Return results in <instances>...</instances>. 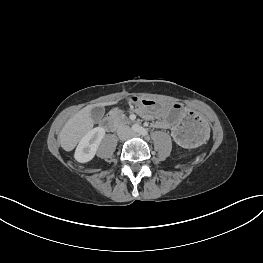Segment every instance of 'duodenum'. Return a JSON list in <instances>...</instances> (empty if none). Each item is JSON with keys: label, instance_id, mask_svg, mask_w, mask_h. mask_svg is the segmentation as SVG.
<instances>
[{"label": "duodenum", "instance_id": "duodenum-1", "mask_svg": "<svg viewBox=\"0 0 263 263\" xmlns=\"http://www.w3.org/2000/svg\"><path fill=\"white\" fill-rule=\"evenodd\" d=\"M104 125L108 129H114L115 127H117L118 121L114 116L109 115L104 119Z\"/></svg>", "mask_w": 263, "mask_h": 263}]
</instances>
